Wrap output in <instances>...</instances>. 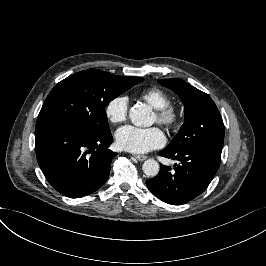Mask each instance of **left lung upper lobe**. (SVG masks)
Segmentation results:
<instances>
[{
    "instance_id": "1",
    "label": "left lung upper lobe",
    "mask_w": 266,
    "mask_h": 266,
    "mask_svg": "<svg viewBox=\"0 0 266 266\" xmlns=\"http://www.w3.org/2000/svg\"><path fill=\"white\" fill-rule=\"evenodd\" d=\"M158 82L173 90L185 105V123L166 149L179 151L198 144L223 147L224 124L210 96L179 78Z\"/></svg>"
}]
</instances>
